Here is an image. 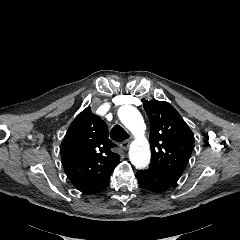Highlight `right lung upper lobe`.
Segmentation results:
<instances>
[{"instance_id":"right-lung-upper-lobe-1","label":"right lung upper lobe","mask_w":240,"mask_h":240,"mask_svg":"<svg viewBox=\"0 0 240 240\" xmlns=\"http://www.w3.org/2000/svg\"><path fill=\"white\" fill-rule=\"evenodd\" d=\"M114 146L106 123L89 107L73 120L60 153L65 173L75 188L91 195L108 184L120 159Z\"/></svg>"}]
</instances>
